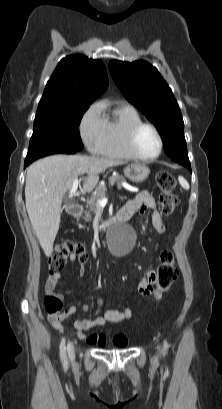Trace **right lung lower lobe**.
<instances>
[{"label":"right lung lower lobe","mask_w":222,"mask_h":409,"mask_svg":"<svg viewBox=\"0 0 222 409\" xmlns=\"http://www.w3.org/2000/svg\"><path fill=\"white\" fill-rule=\"evenodd\" d=\"M29 164H30V163H25V164H24V168H25L26 166H28Z\"/></svg>","instance_id":"98d812e1"}]
</instances>
